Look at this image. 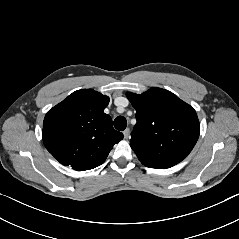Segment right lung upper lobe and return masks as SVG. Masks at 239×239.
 Returning <instances> with one entry per match:
<instances>
[{"mask_svg":"<svg viewBox=\"0 0 239 239\" xmlns=\"http://www.w3.org/2000/svg\"><path fill=\"white\" fill-rule=\"evenodd\" d=\"M108 103V96L82 89L47 112L43 142L55 159L76 171L93 169L105 161L113 145L123 139L104 113Z\"/></svg>","mask_w":239,"mask_h":239,"instance_id":"obj_1","label":"right lung upper lobe"}]
</instances>
